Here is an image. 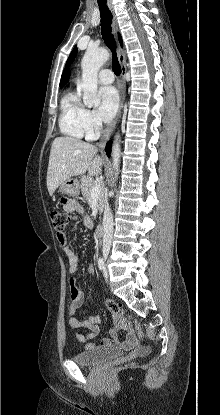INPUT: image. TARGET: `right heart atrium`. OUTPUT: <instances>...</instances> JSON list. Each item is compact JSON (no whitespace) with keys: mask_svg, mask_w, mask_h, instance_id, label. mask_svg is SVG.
Instances as JSON below:
<instances>
[{"mask_svg":"<svg viewBox=\"0 0 220 415\" xmlns=\"http://www.w3.org/2000/svg\"><path fill=\"white\" fill-rule=\"evenodd\" d=\"M85 121L88 129V133L93 137L100 129L99 123L93 116V113L90 110L85 112Z\"/></svg>","mask_w":220,"mask_h":415,"instance_id":"obj_1","label":"right heart atrium"}]
</instances>
